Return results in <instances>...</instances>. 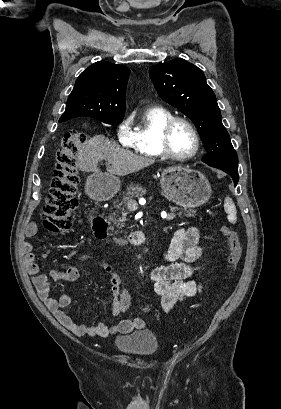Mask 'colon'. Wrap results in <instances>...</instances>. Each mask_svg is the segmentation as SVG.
<instances>
[{
    "label": "colon",
    "mask_w": 281,
    "mask_h": 409,
    "mask_svg": "<svg viewBox=\"0 0 281 409\" xmlns=\"http://www.w3.org/2000/svg\"><path fill=\"white\" fill-rule=\"evenodd\" d=\"M87 141V135L81 130H71L64 134L62 146L58 150L56 178L48 196L47 204L43 208L42 218L44 227L59 233L71 227L72 214L76 209L75 198L78 175L76 172V155ZM228 249V271L231 273L239 261L241 247L234 230L226 225L221 226Z\"/></svg>",
    "instance_id": "colon-1"
}]
</instances>
